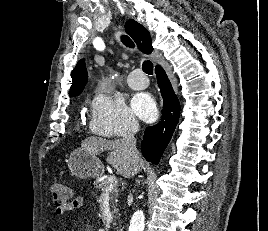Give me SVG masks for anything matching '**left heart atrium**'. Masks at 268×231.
I'll use <instances>...</instances> for the list:
<instances>
[{
  "mask_svg": "<svg viewBox=\"0 0 268 231\" xmlns=\"http://www.w3.org/2000/svg\"><path fill=\"white\" fill-rule=\"evenodd\" d=\"M132 111L146 122L154 121L158 111L154 99L147 93H138L131 99Z\"/></svg>",
  "mask_w": 268,
  "mask_h": 231,
  "instance_id": "left-heart-atrium-1",
  "label": "left heart atrium"
}]
</instances>
